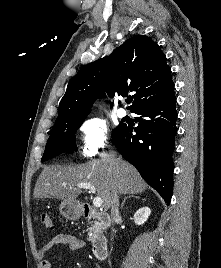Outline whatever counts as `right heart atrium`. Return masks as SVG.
<instances>
[{
    "label": "right heart atrium",
    "mask_w": 221,
    "mask_h": 268,
    "mask_svg": "<svg viewBox=\"0 0 221 268\" xmlns=\"http://www.w3.org/2000/svg\"><path fill=\"white\" fill-rule=\"evenodd\" d=\"M82 136V154L92 158L101 153L110 138V130L106 123L96 117L84 120L80 126Z\"/></svg>",
    "instance_id": "1"
}]
</instances>
